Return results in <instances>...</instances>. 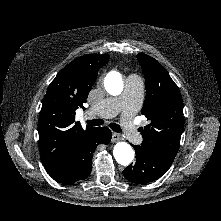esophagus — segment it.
<instances>
[{
  "label": "esophagus",
  "instance_id": "1",
  "mask_svg": "<svg viewBox=\"0 0 221 221\" xmlns=\"http://www.w3.org/2000/svg\"><path fill=\"white\" fill-rule=\"evenodd\" d=\"M120 140H122V136L119 133L114 132L112 136V142L115 143Z\"/></svg>",
  "mask_w": 221,
  "mask_h": 221
}]
</instances>
